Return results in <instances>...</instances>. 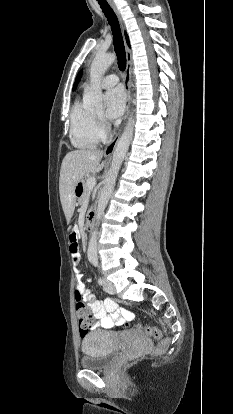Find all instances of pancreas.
I'll list each match as a JSON object with an SVG mask.
<instances>
[{
	"label": "pancreas",
	"mask_w": 233,
	"mask_h": 414,
	"mask_svg": "<svg viewBox=\"0 0 233 414\" xmlns=\"http://www.w3.org/2000/svg\"><path fill=\"white\" fill-rule=\"evenodd\" d=\"M87 180H88V178H86V179L83 181V183H84V191H83V195H82V197L79 199V203H80V204H83V203H84V201L88 200L89 195H90V193H91V191H92V189H91V188L87 185Z\"/></svg>",
	"instance_id": "1"
}]
</instances>
